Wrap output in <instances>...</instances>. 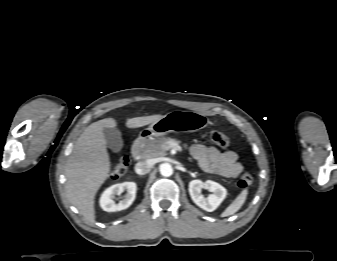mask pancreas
I'll use <instances>...</instances> for the list:
<instances>
[{
	"instance_id": "pancreas-1",
	"label": "pancreas",
	"mask_w": 337,
	"mask_h": 261,
	"mask_svg": "<svg viewBox=\"0 0 337 261\" xmlns=\"http://www.w3.org/2000/svg\"><path fill=\"white\" fill-rule=\"evenodd\" d=\"M170 142L180 143V141L176 139L167 137L142 141L140 143V156L142 158L165 156L167 151L166 145ZM184 147L187 148V144H184Z\"/></svg>"
}]
</instances>
